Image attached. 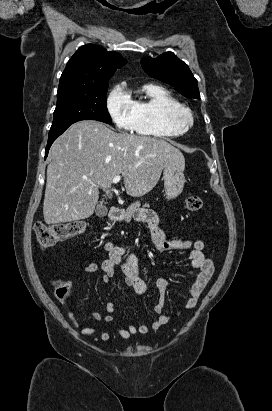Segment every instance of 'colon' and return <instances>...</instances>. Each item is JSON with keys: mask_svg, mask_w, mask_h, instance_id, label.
<instances>
[{"mask_svg": "<svg viewBox=\"0 0 272 411\" xmlns=\"http://www.w3.org/2000/svg\"><path fill=\"white\" fill-rule=\"evenodd\" d=\"M203 206L202 199L199 196L192 195L186 200L188 211H199ZM87 229L83 221H71L59 224H45L37 221L34 226L35 237L42 248L54 246L57 242L66 238L73 237L84 233ZM55 294L60 300H68L71 295V284L65 280L54 281Z\"/></svg>", "mask_w": 272, "mask_h": 411, "instance_id": "5ec220e1", "label": "colon"}]
</instances>
